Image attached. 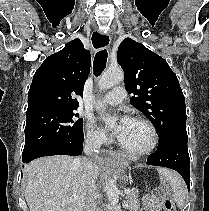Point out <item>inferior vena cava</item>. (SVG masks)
Here are the masks:
<instances>
[{"mask_svg": "<svg viewBox=\"0 0 209 211\" xmlns=\"http://www.w3.org/2000/svg\"><path fill=\"white\" fill-rule=\"evenodd\" d=\"M100 146V138H91L86 140L83 151L86 157L77 158V162L85 173L89 183L90 190L87 197L86 211H98L97 210V197H98V188L95 184V167L91 160V156L95 149Z\"/></svg>", "mask_w": 209, "mask_h": 211, "instance_id": "obj_1", "label": "inferior vena cava"}]
</instances>
